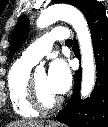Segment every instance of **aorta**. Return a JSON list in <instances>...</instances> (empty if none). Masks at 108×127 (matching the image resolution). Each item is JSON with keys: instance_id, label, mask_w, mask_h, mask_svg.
I'll list each match as a JSON object with an SVG mask.
<instances>
[{"instance_id": "762f6f07", "label": "aorta", "mask_w": 108, "mask_h": 127, "mask_svg": "<svg viewBox=\"0 0 108 127\" xmlns=\"http://www.w3.org/2000/svg\"><path fill=\"white\" fill-rule=\"evenodd\" d=\"M58 20L71 24L77 34L82 61L81 97L86 98L94 88L96 74L92 39L88 24L77 8L67 4H58L50 6L41 12L36 25L38 28L43 29Z\"/></svg>"}]
</instances>
